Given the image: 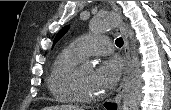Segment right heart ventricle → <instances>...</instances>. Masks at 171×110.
<instances>
[{
	"instance_id": "obj_1",
	"label": "right heart ventricle",
	"mask_w": 171,
	"mask_h": 110,
	"mask_svg": "<svg viewBox=\"0 0 171 110\" xmlns=\"http://www.w3.org/2000/svg\"><path fill=\"white\" fill-rule=\"evenodd\" d=\"M83 58L73 45L63 49L55 58L47 84L50 93L57 101L62 103H75L79 101L69 87L68 77Z\"/></svg>"
}]
</instances>
